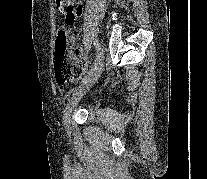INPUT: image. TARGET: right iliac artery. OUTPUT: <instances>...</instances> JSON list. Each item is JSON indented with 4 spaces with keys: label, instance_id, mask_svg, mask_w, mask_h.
<instances>
[{
    "label": "right iliac artery",
    "instance_id": "1",
    "mask_svg": "<svg viewBox=\"0 0 207 179\" xmlns=\"http://www.w3.org/2000/svg\"><path fill=\"white\" fill-rule=\"evenodd\" d=\"M94 46L97 52L96 55V59H95V64L94 66L91 68V70L88 72V75L82 80L83 83H85L87 81V78L90 76V74L96 69L97 63L101 57V53H100V43L98 41H94ZM75 89H73L72 91H74Z\"/></svg>",
    "mask_w": 207,
    "mask_h": 179
}]
</instances>
